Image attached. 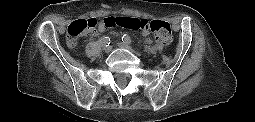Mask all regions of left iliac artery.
<instances>
[{
    "label": "left iliac artery",
    "instance_id": "44dca946",
    "mask_svg": "<svg viewBox=\"0 0 255 122\" xmlns=\"http://www.w3.org/2000/svg\"><path fill=\"white\" fill-rule=\"evenodd\" d=\"M122 41H123L124 43H126V44H129V45L132 44L131 38H130L128 35H126V34H124V35L122 36Z\"/></svg>",
    "mask_w": 255,
    "mask_h": 122
}]
</instances>
